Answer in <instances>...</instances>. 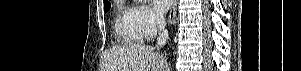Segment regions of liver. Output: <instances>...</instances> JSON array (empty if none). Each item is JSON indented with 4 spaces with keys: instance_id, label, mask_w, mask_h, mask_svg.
I'll return each instance as SVG.
<instances>
[{
    "instance_id": "liver-1",
    "label": "liver",
    "mask_w": 301,
    "mask_h": 71,
    "mask_svg": "<svg viewBox=\"0 0 301 71\" xmlns=\"http://www.w3.org/2000/svg\"><path fill=\"white\" fill-rule=\"evenodd\" d=\"M166 58L155 52L154 47L131 43L105 51L102 71H165Z\"/></svg>"
}]
</instances>
